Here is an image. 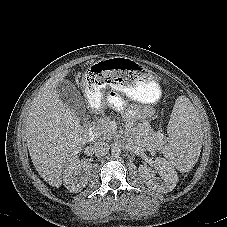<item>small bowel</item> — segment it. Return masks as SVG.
Listing matches in <instances>:
<instances>
[{"label": "small bowel", "mask_w": 227, "mask_h": 227, "mask_svg": "<svg viewBox=\"0 0 227 227\" xmlns=\"http://www.w3.org/2000/svg\"><path fill=\"white\" fill-rule=\"evenodd\" d=\"M108 102L111 106H117L118 104L121 103V100L116 96H109Z\"/></svg>", "instance_id": "1"}]
</instances>
